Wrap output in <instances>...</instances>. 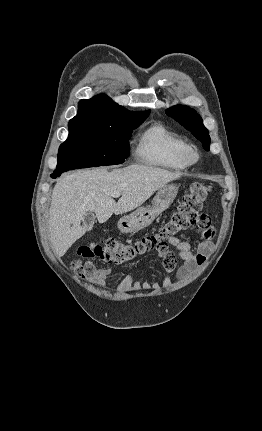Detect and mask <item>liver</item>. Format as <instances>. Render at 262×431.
I'll list each match as a JSON object with an SVG mask.
<instances>
[{
    "label": "liver",
    "mask_w": 262,
    "mask_h": 431,
    "mask_svg": "<svg viewBox=\"0 0 262 431\" xmlns=\"http://www.w3.org/2000/svg\"><path fill=\"white\" fill-rule=\"evenodd\" d=\"M181 173L130 165L122 169L96 168L65 175L54 187L49 211L52 248L62 257L87 228L81 226L86 212H94L100 223L112 215L124 214L141 206L156 190L179 179ZM120 192L116 202L111 194Z\"/></svg>",
    "instance_id": "1"
}]
</instances>
